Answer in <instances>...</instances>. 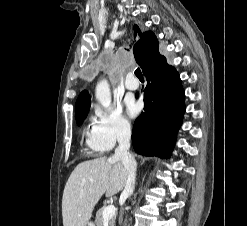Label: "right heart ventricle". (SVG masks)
<instances>
[{"label": "right heart ventricle", "instance_id": "1", "mask_svg": "<svg viewBox=\"0 0 247 226\" xmlns=\"http://www.w3.org/2000/svg\"><path fill=\"white\" fill-rule=\"evenodd\" d=\"M90 133L91 129L84 131L85 151L90 156L101 155L105 150L92 142Z\"/></svg>", "mask_w": 247, "mask_h": 226}]
</instances>
